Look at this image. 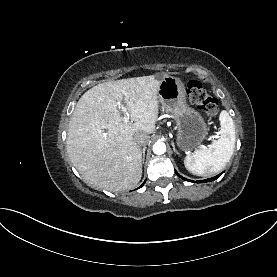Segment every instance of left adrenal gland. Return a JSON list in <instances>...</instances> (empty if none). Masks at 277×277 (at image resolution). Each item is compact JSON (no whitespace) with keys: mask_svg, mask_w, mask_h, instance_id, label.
<instances>
[{"mask_svg":"<svg viewBox=\"0 0 277 277\" xmlns=\"http://www.w3.org/2000/svg\"><path fill=\"white\" fill-rule=\"evenodd\" d=\"M172 146H173V150H174V152H176V154H179L178 153V151L175 149V145H174V143L172 142Z\"/></svg>","mask_w":277,"mask_h":277,"instance_id":"1","label":"left adrenal gland"}]
</instances>
